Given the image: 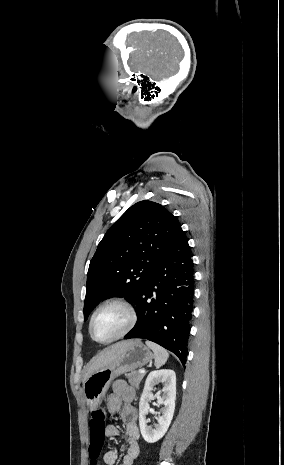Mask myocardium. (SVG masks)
I'll return each mask as SVG.
<instances>
[{
	"label": "myocardium",
	"mask_w": 284,
	"mask_h": 465,
	"mask_svg": "<svg viewBox=\"0 0 284 465\" xmlns=\"http://www.w3.org/2000/svg\"><path fill=\"white\" fill-rule=\"evenodd\" d=\"M106 307H118V308L124 310L126 312L127 316H128V322H127V325H126L125 329L119 335H117L116 337H114L112 339H109V340H106V341H98V340H95L93 338L92 333H91V327H92V323H93V320H94V317L96 316V314L100 310H102L103 308H106ZM136 322H137L136 310L129 302H127L125 300H121V299L110 300V301H107V302L101 304L92 313V315H91V317L89 319L88 333H89L90 338L95 343L100 344V345H108V344H112V343L117 342V341L123 339L124 337H126L132 331V329L134 328Z\"/></svg>",
	"instance_id": "f54148a6"
}]
</instances>
